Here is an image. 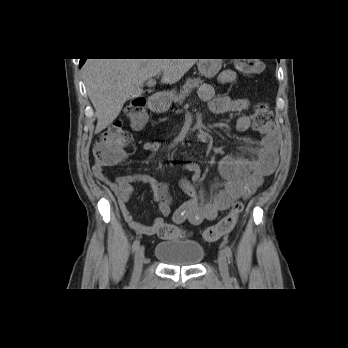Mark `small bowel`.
I'll list each match as a JSON object with an SVG mask.
<instances>
[{
  "label": "small bowel",
  "instance_id": "obj_1",
  "mask_svg": "<svg viewBox=\"0 0 348 348\" xmlns=\"http://www.w3.org/2000/svg\"><path fill=\"white\" fill-rule=\"evenodd\" d=\"M238 80L236 72L225 70L219 76L222 85L235 84ZM199 97L208 103L209 108L216 114L238 112L240 116L235 122L238 132L250 129V119L246 114L249 101L246 98L232 99L227 95L216 96L212 85L204 83L199 87ZM279 139L277 134L267 135L260 143L256 154L250 158H235L225 156L219 162V171L225 178V183L218 194L210 201L200 200L196 183L201 176V170L197 163H187L184 169L192 174V182L182 179L181 185L188 200L172 213V199L166 183L149 175L132 173L124 174L110 179L105 173L104 165L94 164L95 177L107 185L115 194L119 209L127 225L141 235H155L159 228L164 225V218L171 216L174 224L188 221L193 225H199L204 221L216 218L219 211L230 207L237 198L249 199L261 186L265 177L271 175L278 164ZM162 145L157 141L144 142L141 149L146 152L149 159H153L161 150ZM126 156L117 164H124ZM134 183L149 184L153 189V199L158 203V212L161 216L156 217L150 225H142L134 219L133 214L127 207V203L134 194Z\"/></svg>",
  "mask_w": 348,
  "mask_h": 348
}]
</instances>
